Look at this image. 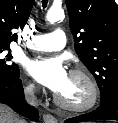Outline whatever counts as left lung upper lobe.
Returning a JSON list of instances; mask_svg holds the SVG:
<instances>
[{"label":"left lung upper lobe","mask_w":118,"mask_h":123,"mask_svg":"<svg viewBox=\"0 0 118 123\" xmlns=\"http://www.w3.org/2000/svg\"><path fill=\"white\" fill-rule=\"evenodd\" d=\"M66 6L75 51L104 102L118 90V5L115 0H66Z\"/></svg>","instance_id":"5c2ea615"}]
</instances>
